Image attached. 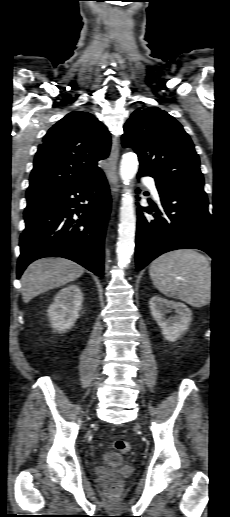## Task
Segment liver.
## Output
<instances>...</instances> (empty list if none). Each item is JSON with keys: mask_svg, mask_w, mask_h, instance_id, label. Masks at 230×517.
Segmentation results:
<instances>
[{"mask_svg": "<svg viewBox=\"0 0 230 517\" xmlns=\"http://www.w3.org/2000/svg\"><path fill=\"white\" fill-rule=\"evenodd\" d=\"M84 268L65 258H42L31 263L21 277L24 303L48 290L75 281Z\"/></svg>", "mask_w": 230, "mask_h": 517, "instance_id": "6515ba94", "label": "liver"}]
</instances>
